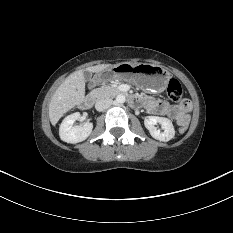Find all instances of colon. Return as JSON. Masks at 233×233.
Here are the masks:
<instances>
[{
    "label": "colon",
    "instance_id": "1",
    "mask_svg": "<svg viewBox=\"0 0 233 233\" xmlns=\"http://www.w3.org/2000/svg\"><path fill=\"white\" fill-rule=\"evenodd\" d=\"M167 95L170 100L174 102H178L183 97V88L180 82L176 79H171L167 86ZM188 127V121L183 122L179 126V130L181 132H185Z\"/></svg>",
    "mask_w": 233,
    "mask_h": 233
}]
</instances>
